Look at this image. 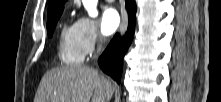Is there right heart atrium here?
I'll use <instances>...</instances> for the list:
<instances>
[{
    "mask_svg": "<svg viewBox=\"0 0 221 102\" xmlns=\"http://www.w3.org/2000/svg\"><path fill=\"white\" fill-rule=\"evenodd\" d=\"M78 46L84 56L92 54L101 44L97 24L91 18L81 16L73 24Z\"/></svg>",
    "mask_w": 221,
    "mask_h": 102,
    "instance_id": "obj_1",
    "label": "right heart atrium"
}]
</instances>
